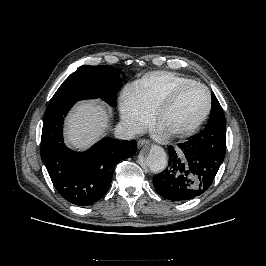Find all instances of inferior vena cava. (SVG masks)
Here are the masks:
<instances>
[{
  "label": "inferior vena cava",
  "mask_w": 266,
  "mask_h": 266,
  "mask_svg": "<svg viewBox=\"0 0 266 266\" xmlns=\"http://www.w3.org/2000/svg\"><path fill=\"white\" fill-rule=\"evenodd\" d=\"M139 133H141L140 127L127 122H120L115 129L116 137L123 140H131Z\"/></svg>",
  "instance_id": "obj_1"
}]
</instances>
